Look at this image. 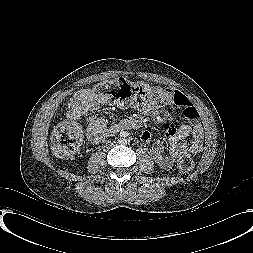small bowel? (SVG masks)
I'll use <instances>...</instances> for the list:
<instances>
[{"mask_svg":"<svg viewBox=\"0 0 253 253\" xmlns=\"http://www.w3.org/2000/svg\"><path fill=\"white\" fill-rule=\"evenodd\" d=\"M174 98L171 103L183 110L184 116L190 124H183L175 129L166 119L165 105L152 108L149 113L161 121L166 129L165 135L168 138V152H164V145L161 141H156L150 149V154L157 165L169 170L172 168L174 161L184 152L198 154L203 148V130L198 123L199 112L197 107L186 97L185 94L168 88ZM68 116L70 119L77 121L86 120V130L88 140L92 144H97L102 140L112 136L117 130L129 128L133 125V119H115L112 126H108L106 121L97 116L95 111L98 104L95 100L94 93L91 89H81L74 93L68 101ZM191 136L190 142L186 139ZM154 138L150 131H144L141 140L149 144Z\"/></svg>","mask_w":253,"mask_h":253,"instance_id":"obj_1","label":"small bowel"}]
</instances>
